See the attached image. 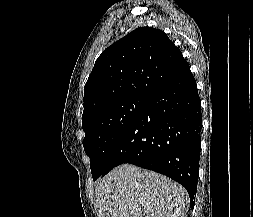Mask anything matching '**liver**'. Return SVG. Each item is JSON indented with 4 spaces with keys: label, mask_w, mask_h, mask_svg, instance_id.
<instances>
[{
    "label": "liver",
    "mask_w": 253,
    "mask_h": 217,
    "mask_svg": "<svg viewBox=\"0 0 253 217\" xmlns=\"http://www.w3.org/2000/svg\"><path fill=\"white\" fill-rule=\"evenodd\" d=\"M98 217H186L188 193L159 173L131 164L114 168L95 187Z\"/></svg>",
    "instance_id": "6515ba94"
}]
</instances>
